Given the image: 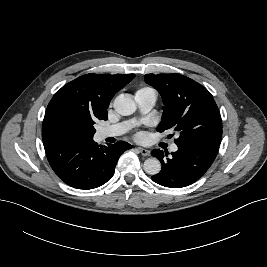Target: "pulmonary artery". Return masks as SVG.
Masks as SVG:
<instances>
[{"mask_svg": "<svg viewBox=\"0 0 267 267\" xmlns=\"http://www.w3.org/2000/svg\"><path fill=\"white\" fill-rule=\"evenodd\" d=\"M135 98L142 112L150 111L154 107L156 102L155 92L137 93L135 95ZM128 128H129V123L127 122L116 124L110 127L100 129L98 131V136L101 139L119 136L123 134ZM170 149L171 151L175 152L178 150V147L176 144H172Z\"/></svg>", "mask_w": 267, "mask_h": 267, "instance_id": "e3ab8cb5", "label": "pulmonary artery"}]
</instances>
